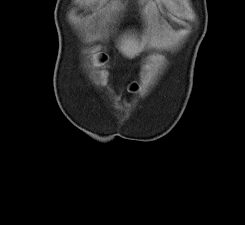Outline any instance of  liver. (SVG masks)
<instances>
[{
	"label": "liver",
	"mask_w": 245,
	"mask_h": 225,
	"mask_svg": "<svg viewBox=\"0 0 245 225\" xmlns=\"http://www.w3.org/2000/svg\"><path fill=\"white\" fill-rule=\"evenodd\" d=\"M122 54L128 58H134L141 50V43L134 36H124L118 43Z\"/></svg>",
	"instance_id": "liver-1"
}]
</instances>
